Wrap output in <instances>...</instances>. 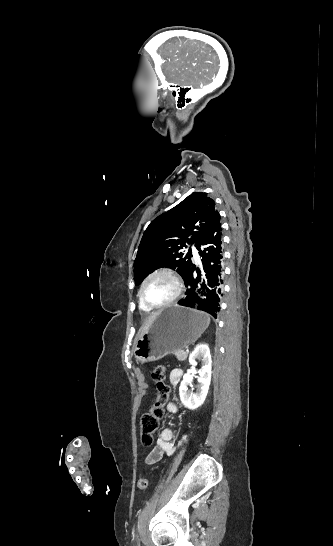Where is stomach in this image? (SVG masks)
I'll return each instance as SVG.
<instances>
[{
    "instance_id": "obj_1",
    "label": "stomach",
    "mask_w": 333,
    "mask_h": 546,
    "mask_svg": "<svg viewBox=\"0 0 333 546\" xmlns=\"http://www.w3.org/2000/svg\"><path fill=\"white\" fill-rule=\"evenodd\" d=\"M210 319L207 314L180 306L158 313L149 329L134 344L138 363L157 361L177 350L187 348L202 335Z\"/></svg>"
}]
</instances>
